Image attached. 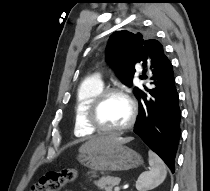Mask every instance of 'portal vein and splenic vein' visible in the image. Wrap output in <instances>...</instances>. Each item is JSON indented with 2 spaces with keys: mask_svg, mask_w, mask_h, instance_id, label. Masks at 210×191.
Segmentation results:
<instances>
[{
  "mask_svg": "<svg viewBox=\"0 0 210 191\" xmlns=\"http://www.w3.org/2000/svg\"><path fill=\"white\" fill-rule=\"evenodd\" d=\"M114 191H120V187L119 186L115 187Z\"/></svg>",
  "mask_w": 210,
  "mask_h": 191,
  "instance_id": "18ae733b",
  "label": "portal vein and splenic vein"
}]
</instances>
